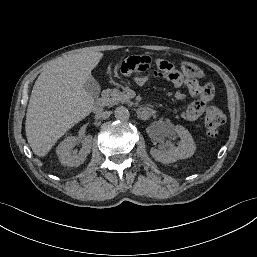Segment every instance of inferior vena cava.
Instances as JSON below:
<instances>
[{
	"label": "inferior vena cava",
	"instance_id": "obj_1",
	"mask_svg": "<svg viewBox=\"0 0 257 257\" xmlns=\"http://www.w3.org/2000/svg\"><path fill=\"white\" fill-rule=\"evenodd\" d=\"M111 112L110 111H101L96 114L97 119H107L109 118Z\"/></svg>",
	"mask_w": 257,
	"mask_h": 257
}]
</instances>
